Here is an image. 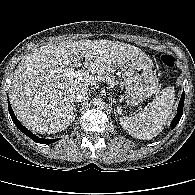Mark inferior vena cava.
Masks as SVG:
<instances>
[{"label":"inferior vena cava","instance_id":"602c4592","mask_svg":"<svg viewBox=\"0 0 195 195\" xmlns=\"http://www.w3.org/2000/svg\"><path fill=\"white\" fill-rule=\"evenodd\" d=\"M89 96L90 90L86 86H79L72 92V97L75 102L85 101Z\"/></svg>","mask_w":195,"mask_h":195}]
</instances>
